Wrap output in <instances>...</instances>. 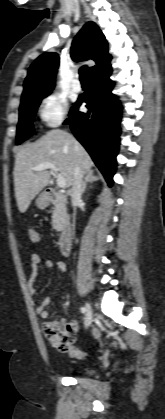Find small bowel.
Returning <instances> with one entry per match:
<instances>
[{
  "instance_id": "c3829d8e",
  "label": "small bowel",
  "mask_w": 165,
  "mask_h": 419,
  "mask_svg": "<svg viewBox=\"0 0 165 419\" xmlns=\"http://www.w3.org/2000/svg\"><path fill=\"white\" fill-rule=\"evenodd\" d=\"M41 265V258L38 254L33 253L30 258V269L31 274L30 278L28 280L27 289L30 295H34L36 293V287L35 283L39 277V269ZM45 266L49 269L57 268L61 273L66 275L67 268L63 261L55 260V259H46L45 260ZM50 304V298L49 297H43L40 302L36 305L35 311L36 313L43 319L48 317V311L47 308ZM72 331V337L71 340L63 345H57L54 344L55 348L61 352V353H67L70 357L75 359H85L86 354L75 348L73 346L75 341V327L73 325L70 326Z\"/></svg>"
}]
</instances>
